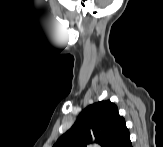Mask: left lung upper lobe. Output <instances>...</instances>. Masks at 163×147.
I'll list each match as a JSON object with an SVG mask.
<instances>
[{"label":"left lung upper lobe","instance_id":"obj_1","mask_svg":"<svg viewBox=\"0 0 163 147\" xmlns=\"http://www.w3.org/2000/svg\"><path fill=\"white\" fill-rule=\"evenodd\" d=\"M125 128V120L114 103L109 100L96 102L79 114L74 125L54 147H89L93 143L114 147Z\"/></svg>","mask_w":163,"mask_h":147}]
</instances>
